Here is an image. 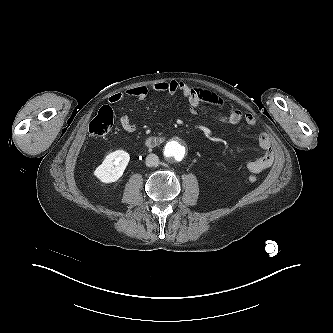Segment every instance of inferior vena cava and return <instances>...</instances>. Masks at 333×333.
Here are the masks:
<instances>
[{
    "mask_svg": "<svg viewBox=\"0 0 333 333\" xmlns=\"http://www.w3.org/2000/svg\"><path fill=\"white\" fill-rule=\"evenodd\" d=\"M158 163H159V158L156 154H149L146 157V166L153 167V166H157Z\"/></svg>",
    "mask_w": 333,
    "mask_h": 333,
    "instance_id": "602c4592",
    "label": "inferior vena cava"
}]
</instances>
